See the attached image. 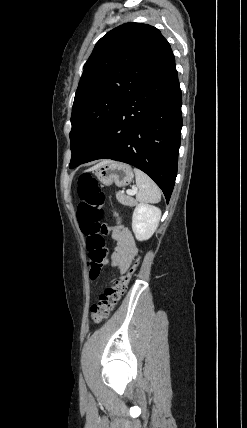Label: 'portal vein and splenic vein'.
Returning a JSON list of instances; mask_svg holds the SVG:
<instances>
[{
  "mask_svg": "<svg viewBox=\"0 0 247 428\" xmlns=\"http://www.w3.org/2000/svg\"><path fill=\"white\" fill-rule=\"evenodd\" d=\"M136 192H137V188H136V187H135V188H133L132 190H127V191H126V193H127L128 195H134Z\"/></svg>",
  "mask_w": 247,
  "mask_h": 428,
  "instance_id": "portal-vein-and-splenic-vein-1",
  "label": "portal vein and splenic vein"
}]
</instances>
